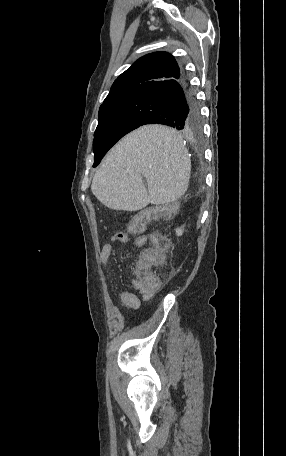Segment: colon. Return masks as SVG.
Returning a JSON list of instances; mask_svg holds the SVG:
<instances>
[{"instance_id": "1", "label": "colon", "mask_w": 286, "mask_h": 456, "mask_svg": "<svg viewBox=\"0 0 286 456\" xmlns=\"http://www.w3.org/2000/svg\"><path fill=\"white\" fill-rule=\"evenodd\" d=\"M159 215V212H158ZM149 214L136 216L130 224L133 232H142L149 221ZM124 233H116L113 238L119 239ZM166 242L161 234H156L152 238V247L144 251L139 261L134 265L133 275L136 287L146 291H155L161 286V279L151 272V266H159L162 263L163 251Z\"/></svg>"}]
</instances>
